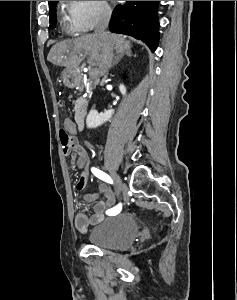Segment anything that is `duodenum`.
Segmentation results:
<instances>
[{
    "label": "duodenum",
    "mask_w": 237,
    "mask_h": 300,
    "mask_svg": "<svg viewBox=\"0 0 237 300\" xmlns=\"http://www.w3.org/2000/svg\"><path fill=\"white\" fill-rule=\"evenodd\" d=\"M69 84L74 87H79L81 85V77L76 72L69 73ZM88 113V102L86 99L80 100L77 105L75 113V124L79 131H82L85 126L86 118Z\"/></svg>",
    "instance_id": "duodenum-1"
}]
</instances>
